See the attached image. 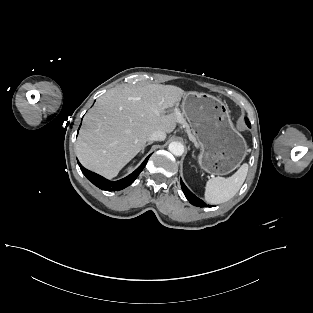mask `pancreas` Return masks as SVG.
I'll use <instances>...</instances> for the list:
<instances>
[{
  "label": "pancreas",
  "instance_id": "cf45deb5",
  "mask_svg": "<svg viewBox=\"0 0 313 313\" xmlns=\"http://www.w3.org/2000/svg\"><path fill=\"white\" fill-rule=\"evenodd\" d=\"M186 127H187V131H188L189 135L192 137V134L190 133L189 127L188 126H186Z\"/></svg>",
  "mask_w": 313,
  "mask_h": 313
}]
</instances>
